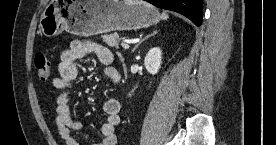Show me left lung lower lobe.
Returning a JSON list of instances; mask_svg holds the SVG:
<instances>
[{"mask_svg": "<svg viewBox=\"0 0 276 145\" xmlns=\"http://www.w3.org/2000/svg\"><path fill=\"white\" fill-rule=\"evenodd\" d=\"M160 8L178 12L196 26L202 23V0H146Z\"/></svg>", "mask_w": 276, "mask_h": 145, "instance_id": "obj_1", "label": "left lung lower lobe"}]
</instances>
